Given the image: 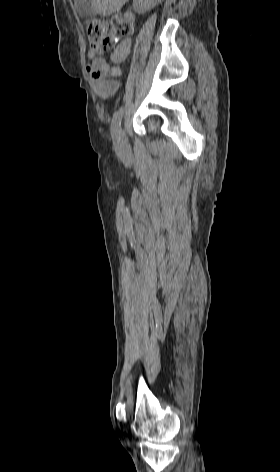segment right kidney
<instances>
[{"label": "right kidney", "mask_w": 280, "mask_h": 472, "mask_svg": "<svg viewBox=\"0 0 280 472\" xmlns=\"http://www.w3.org/2000/svg\"><path fill=\"white\" fill-rule=\"evenodd\" d=\"M161 0H133V7L137 13H145L155 7Z\"/></svg>", "instance_id": "1"}]
</instances>
